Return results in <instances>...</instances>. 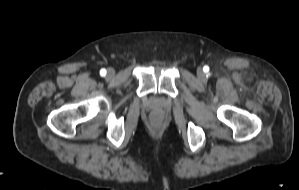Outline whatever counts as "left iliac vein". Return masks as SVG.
<instances>
[{
  "mask_svg": "<svg viewBox=\"0 0 299 190\" xmlns=\"http://www.w3.org/2000/svg\"><path fill=\"white\" fill-rule=\"evenodd\" d=\"M197 75L201 80L205 78V74L201 69L198 70Z\"/></svg>",
  "mask_w": 299,
  "mask_h": 190,
  "instance_id": "1",
  "label": "left iliac vein"
}]
</instances>
